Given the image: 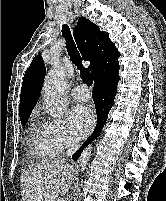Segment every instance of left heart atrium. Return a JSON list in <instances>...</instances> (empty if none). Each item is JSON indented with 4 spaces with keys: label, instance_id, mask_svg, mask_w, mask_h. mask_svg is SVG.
Wrapping results in <instances>:
<instances>
[{
    "label": "left heart atrium",
    "instance_id": "39dd6f15",
    "mask_svg": "<svg viewBox=\"0 0 166 201\" xmlns=\"http://www.w3.org/2000/svg\"><path fill=\"white\" fill-rule=\"evenodd\" d=\"M69 123L75 139L84 138L95 124L93 111L84 105H78L71 109L69 113Z\"/></svg>",
    "mask_w": 166,
    "mask_h": 201
}]
</instances>
